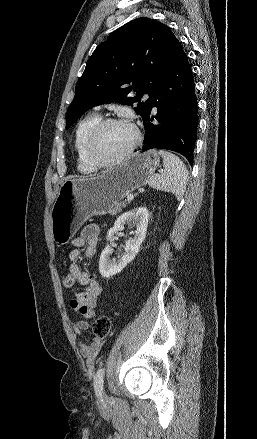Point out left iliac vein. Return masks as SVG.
Returning <instances> with one entry per match:
<instances>
[{"instance_id":"obj_1","label":"left iliac vein","mask_w":257,"mask_h":439,"mask_svg":"<svg viewBox=\"0 0 257 439\" xmlns=\"http://www.w3.org/2000/svg\"><path fill=\"white\" fill-rule=\"evenodd\" d=\"M103 399H106L107 398V396H106V394L104 393L103 394V397H102Z\"/></svg>"}]
</instances>
